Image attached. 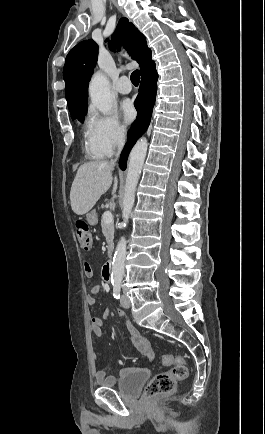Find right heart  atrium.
Segmentation results:
<instances>
[{"label":"right heart atrium","mask_w":265,"mask_h":434,"mask_svg":"<svg viewBox=\"0 0 265 434\" xmlns=\"http://www.w3.org/2000/svg\"><path fill=\"white\" fill-rule=\"evenodd\" d=\"M117 112L116 103H111L109 112H104V108L99 106L88 108L86 151L95 159H115L116 154H121L123 148L127 147L128 135L124 132L123 119L116 115Z\"/></svg>","instance_id":"obj_1"}]
</instances>
